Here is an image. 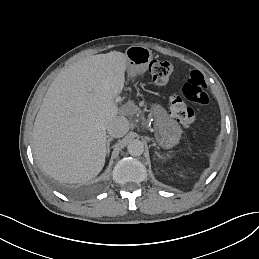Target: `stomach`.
I'll list each match as a JSON object with an SVG mask.
<instances>
[{
	"label": "stomach",
	"instance_id": "stomach-1",
	"mask_svg": "<svg viewBox=\"0 0 259 259\" xmlns=\"http://www.w3.org/2000/svg\"><path fill=\"white\" fill-rule=\"evenodd\" d=\"M128 61L136 67H146L151 62L152 51L144 46H130L126 50Z\"/></svg>",
	"mask_w": 259,
	"mask_h": 259
}]
</instances>
